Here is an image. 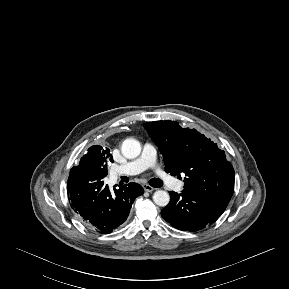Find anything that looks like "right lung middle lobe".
<instances>
[{"mask_svg":"<svg viewBox=\"0 0 289 289\" xmlns=\"http://www.w3.org/2000/svg\"><path fill=\"white\" fill-rule=\"evenodd\" d=\"M95 171L98 173V176L104 178L107 176V165L104 164V161H100L98 163V167H96Z\"/></svg>","mask_w":289,"mask_h":289,"instance_id":"right-lung-middle-lobe-1","label":"right lung middle lobe"}]
</instances>
